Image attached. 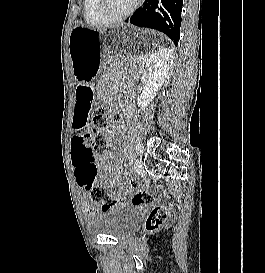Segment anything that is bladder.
Here are the masks:
<instances>
[{
	"label": "bladder",
	"instance_id": "obj_1",
	"mask_svg": "<svg viewBox=\"0 0 265 273\" xmlns=\"http://www.w3.org/2000/svg\"><path fill=\"white\" fill-rule=\"evenodd\" d=\"M136 210L128 205H118L91 214L86 224L93 234H104L117 239L125 238L137 229Z\"/></svg>",
	"mask_w": 265,
	"mask_h": 273
}]
</instances>
